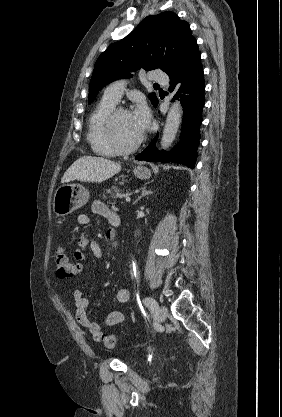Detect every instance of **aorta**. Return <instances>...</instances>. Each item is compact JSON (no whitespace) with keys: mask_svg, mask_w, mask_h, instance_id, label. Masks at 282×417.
I'll return each mask as SVG.
<instances>
[{"mask_svg":"<svg viewBox=\"0 0 282 417\" xmlns=\"http://www.w3.org/2000/svg\"><path fill=\"white\" fill-rule=\"evenodd\" d=\"M181 116H182V106L179 100H176V102H173V104H171L168 110L164 130H163V134L161 138L162 148H169V146H171L178 132V128L180 126Z\"/></svg>","mask_w":282,"mask_h":417,"instance_id":"762f6f07","label":"aorta"}]
</instances>
